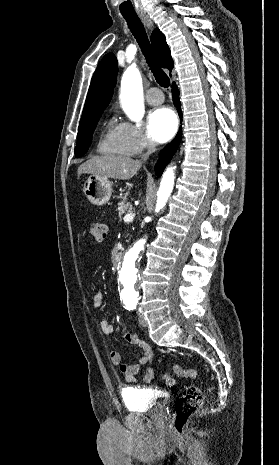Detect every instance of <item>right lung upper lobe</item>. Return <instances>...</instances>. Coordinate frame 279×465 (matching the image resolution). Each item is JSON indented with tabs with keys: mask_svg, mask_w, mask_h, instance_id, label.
I'll return each mask as SVG.
<instances>
[{
	"mask_svg": "<svg viewBox=\"0 0 279 465\" xmlns=\"http://www.w3.org/2000/svg\"><path fill=\"white\" fill-rule=\"evenodd\" d=\"M151 43L161 66L171 71L174 65L170 49L164 34L158 28L154 29L151 35ZM117 72V59L114 54H106L93 75L79 127L90 123L107 107L116 84Z\"/></svg>",
	"mask_w": 279,
	"mask_h": 465,
	"instance_id": "cb5924a9",
	"label": "right lung upper lobe"
}]
</instances>
